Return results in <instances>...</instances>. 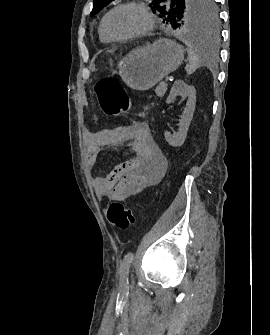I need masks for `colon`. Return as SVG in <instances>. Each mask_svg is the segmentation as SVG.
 <instances>
[{"instance_id":"1","label":"colon","mask_w":270,"mask_h":335,"mask_svg":"<svg viewBox=\"0 0 270 335\" xmlns=\"http://www.w3.org/2000/svg\"><path fill=\"white\" fill-rule=\"evenodd\" d=\"M103 112L118 115L131 107V101L121 83L114 78H106L94 86ZM107 220L116 229L125 230L142 219L143 213L126 207L122 202L112 201L107 206Z\"/></svg>"}]
</instances>
